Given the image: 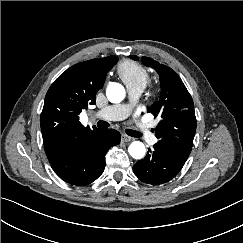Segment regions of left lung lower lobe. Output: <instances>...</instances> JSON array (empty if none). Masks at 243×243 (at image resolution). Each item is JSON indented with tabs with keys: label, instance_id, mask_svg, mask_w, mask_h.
I'll return each instance as SVG.
<instances>
[{
	"label": "left lung lower lobe",
	"instance_id": "0a47b994",
	"mask_svg": "<svg viewBox=\"0 0 243 243\" xmlns=\"http://www.w3.org/2000/svg\"><path fill=\"white\" fill-rule=\"evenodd\" d=\"M186 160L175 151L155 144L145 158L133 166V171L142 182L160 185L173 179Z\"/></svg>",
	"mask_w": 243,
	"mask_h": 243
}]
</instances>
